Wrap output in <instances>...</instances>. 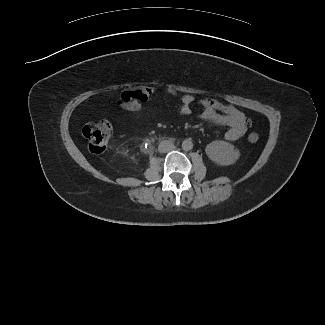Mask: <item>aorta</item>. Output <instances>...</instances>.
Masks as SVG:
<instances>
[{"label":"aorta","mask_w":325,"mask_h":325,"mask_svg":"<svg viewBox=\"0 0 325 325\" xmlns=\"http://www.w3.org/2000/svg\"><path fill=\"white\" fill-rule=\"evenodd\" d=\"M182 148L185 151H189L193 148V143L190 139H186L182 142Z\"/></svg>","instance_id":"762f6f07"}]
</instances>
